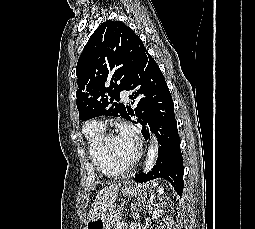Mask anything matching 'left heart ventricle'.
<instances>
[{
  "label": "left heart ventricle",
  "mask_w": 255,
  "mask_h": 229,
  "mask_svg": "<svg viewBox=\"0 0 255 229\" xmlns=\"http://www.w3.org/2000/svg\"><path fill=\"white\" fill-rule=\"evenodd\" d=\"M107 149L112 158L120 162L130 161L137 151V147L129 145L120 136L110 138L107 143Z\"/></svg>",
  "instance_id": "left-heart-ventricle-1"
}]
</instances>
